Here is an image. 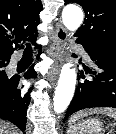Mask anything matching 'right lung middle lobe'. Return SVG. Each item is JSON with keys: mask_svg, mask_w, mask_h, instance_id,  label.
Masks as SVG:
<instances>
[{"mask_svg": "<svg viewBox=\"0 0 116 134\" xmlns=\"http://www.w3.org/2000/svg\"><path fill=\"white\" fill-rule=\"evenodd\" d=\"M9 62H0V87L7 85L12 78H8L5 68Z\"/></svg>", "mask_w": 116, "mask_h": 134, "instance_id": "obj_1", "label": "right lung middle lobe"}]
</instances>
